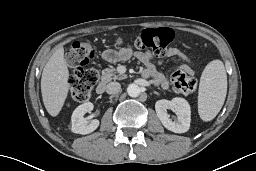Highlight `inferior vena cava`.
Wrapping results in <instances>:
<instances>
[{
    "mask_svg": "<svg viewBox=\"0 0 256 171\" xmlns=\"http://www.w3.org/2000/svg\"><path fill=\"white\" fill-rule=\"evenodd\" d=\"M121 90V85L118 82H110L106 86V92L108 94H116Z\"/></svg>",
    "mask_w": 256,
    "mask_h": 171,
    "instance_id": "obj_1",
    "label": "inferior vena cava"
}]
</instances>
